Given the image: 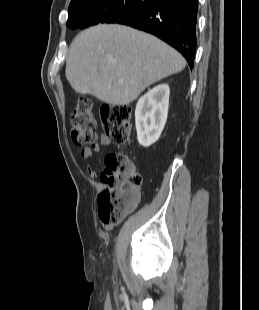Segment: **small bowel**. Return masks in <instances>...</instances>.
<instances>
[{
  "mask_svg": "<svg viewBox=\"0 0 259 310\" xmlns=\"http://www.w3.org/2000/svg\"><path fill=\"white\" fill-rule=\"evenodd\" d=\"M110 144H111V141L107 137L101 136L96 145L85 147L81 150V157L85 160H89L95 153H97L100 150L101 147L109 146ZM87 173L89 177L93 179L96 178L97 176V172L95 168L91 165L87 166ZM105 229L107 230L111 229V225L105 226Z\"/></svg>",
  "mask_w": 259,
  "mask_h": 310,
  "instance_id": "1",
  "label": "small bowel"
}]
</instances>
